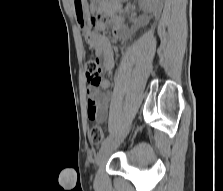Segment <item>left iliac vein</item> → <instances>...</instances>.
<instances>
[{"label":"left iliac vein","mask_w":223,"mask_h":191,"mask_svg":"<svg viewBox=\"0 0 223 191\" xmlns=\"http://www.w3.org/2000/svg\"><path fill=\"white\" fill-rule=\"evenodd\" d=\"M123 138L124 136L116 142H109L107 145H105L104 147L100 149L99 153L97 154L95 158L96 166H100L107 161L113 149L117 147V145L123 140Z\"/></svg>","instance_id":"left-iliac-vein-1"}]
</instances>
